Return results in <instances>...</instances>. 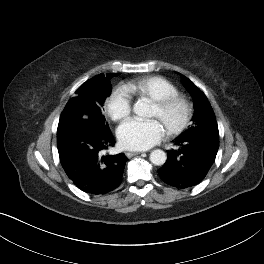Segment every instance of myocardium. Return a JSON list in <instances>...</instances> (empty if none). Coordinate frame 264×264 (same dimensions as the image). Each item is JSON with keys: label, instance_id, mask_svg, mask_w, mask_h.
Masks as SVG:
<instances>
[{"label": "myocardium", "instance_id": "f54148a6", "mask_svg": "<svg viewBox=\"0 0 264 264\" xmlns=\"http://www.w3.org/2000/svg\"><path fill=\"white\" fill-rule=\"evenodd\" d=\"M154 103L160 118L168 117L177 109L181 112L178 120L166 127L167 133L170 136L179 135L187 128L193 116V107L185 96L176 94Z\"/></svg>", "mask_w": 264, "mask_h": 264}]
</instances>
